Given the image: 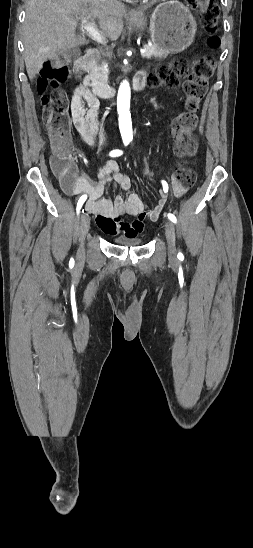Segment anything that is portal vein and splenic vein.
<instances>
[{"label":"portal vein and splenic vein","instance_id":"18ae733b","mask_svg":"<svg viewBox=\"0 0 253 548\" xmlns=\"http://www.w3.org/2000/svg\"><path fill=\"white\" fill-rule=\"evenodd\" d=\"M81 27L82 30L87 33V35L93 39L94 41L103 44L104 39L103 36L100 34V32L97 30L96 25L89 21L86 17H81ZM147 46H144V48L141 50V55L145 56L147 53Z\"/></svg>","mask_w":253,"mask_h":548}]
</instances>
